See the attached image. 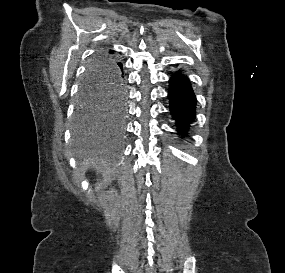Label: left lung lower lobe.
Listing matches in <instances>:
<instances>
[{
    "label": "left lung lower lobe",
    "instance_id": "0a47b994",
    "mask_svg": "<svg viewBox=\"0 0 285 273\" xmlns=\"http://www.w3.org/2000/svg\"><path fill=\"white\" fill-rule=\"evenodd\" d=\"M170 109L180 129L186 130L195 116L196 97L188 79L180 73L170 80Z\"/></svg>",
    "mask_w": 285,
    "mask_h": 273
}]
</instances>
